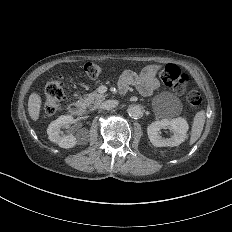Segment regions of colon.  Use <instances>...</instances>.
Returning a JSON list of instances; mask_svg holds the SVG:
<instances>
[{"label":"colon","mask_w":232,"mask_h":232,"mask_svg":"<svg viewBox=\"0 0 232 232\" xmlns=\"http://www.w3.org/2000/svg\"><path fill=\"white\" fill-rule=\"evenodd\" d=\"M103 71L102 67H98L94 62L84 65L83 72L85 76H100ZM162 82L170 89L179 91L181 99H186L188 107H202L201 96L198 91L200 86H196L190 82V78L186 74H182V70L174 64L167 65L162 71ZM44 97L40 98V103H44L43 114L53 116L57 114V106L55 103L65 102L66 96L62 92V84H58L55 80L46 81L43 84Z\"/></svg>","instance_id":"1"}]
</instances>
